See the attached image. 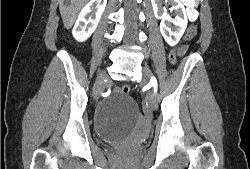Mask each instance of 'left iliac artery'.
Instances as JSON below:
<instances>
[{"label":"left iliac artery","instance_id":"44dca946","mask_svg":"<svg viewBox=\"0 0 250 169\" xmlns=\"http://www.w3.org/2000/svg\"><path fill=\"white\" fill-rule=\"evenodd\" d=\"M150 85L154 87V92H157V80L155 79V77H152L150 80Z\"/></svg>","mask_w":250,"mask_h":169}]
</instances>
